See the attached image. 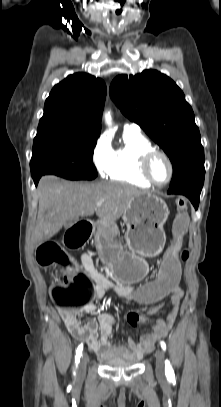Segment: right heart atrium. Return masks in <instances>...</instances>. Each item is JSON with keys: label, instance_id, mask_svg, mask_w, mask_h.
Returning <instances> with one entry per match:
<instances>
[{"label": "right heart atrium", "instance_id": "obj_1", "mask_svg": "<svg viewBox=\"0 0 221 407\" xmlns=\"http://www.w3.org/2000/svg\"><path fill=\"white\" fill-rule=\"evenodd\" d=\"M113 148L108 138L100 137L92 151L93 164L101 177L109 175L112 162Z\"/></svg>", "mask_w": 221, "mask_h": 407}]
</instances>
